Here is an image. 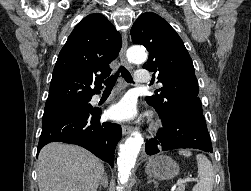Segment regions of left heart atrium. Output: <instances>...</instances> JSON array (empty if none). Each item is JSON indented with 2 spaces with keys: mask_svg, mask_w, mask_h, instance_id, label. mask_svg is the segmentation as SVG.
Here are the masks:
<instances>
[{
  "mask_svg": "<svg viewBox=\"0 0 251 191\" xmlns=\"http://www.w3.org/2000/svg\"><path fill=\"white\" fill-rule=\"evenodd\" d=\"M109 115L116 121H130L137 116V108L130 98H124L111 106Z\"/></svg>",
  "mask_w": 251,
  "mask_h": 191,
  "instance_id": "left-heart-atrium-1",
  "label": "left heart atrium"
}]
</instances>
